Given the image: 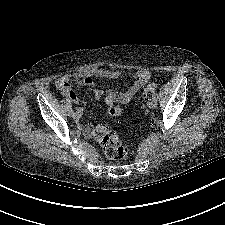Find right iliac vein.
<instances>
[{
    "instance_id": "1",
    "label": "right iliac vein",
    "mask_w": 225,
    "mask_h": 225,
    "mask_svg": "<svg viewBox=\"0 0 225 225\" xmlns=\"http://www.w3.org/2000/svg\"><path fill=\"white\" fill-rule=\"evenodd\" d=\"M72 118L75 120V121H78L79 118H80V114L79 112H73L72 114Z\"/></svg>"
}]
</instances>
